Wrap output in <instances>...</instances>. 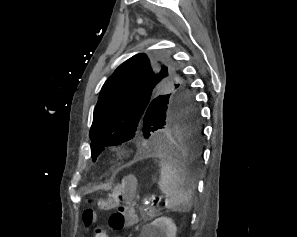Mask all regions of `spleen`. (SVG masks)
<instances>
[{"label":"spleen","instance_id":"3e777b00","mask_svg":"<svg viewBox=\"0 0 297 237\" xmlns=\"http://www.w3.org/2000/svg\"><path fill=\"white\" fill-rule=\"evenodd\" d=\"M158 186L166 195L165 207L175 212H189L193 206V185L178 168L168 160L160 162Z\"/></svg>","mask_w":297,"mask_h":237}]
</instances>
